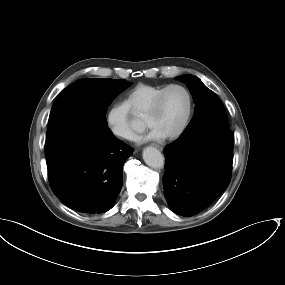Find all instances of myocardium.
I'll return each mask as SVG.
<instances>
[{
	"instance_id": "obj_1",
	"label": "myocardium",
	"mask_w": 285,
	"mask_h": 285,
	"mask_svg": "<svg viewBox=\"0 0 285 285\" xmlns=\"http://www.w3.org/2000/svg\"><path fill=\"white\" fill-rule=\"evenodd\" d=\"M171 88H180L185 92V94L187 96V109H186V113L184 115V118L181 121L178 128L170 134L160 136L162 139H168V140L175 139V138L179 137L184 132V130L186 129V127L190 121L192 110H193V99H192V95H191V92L189 91V89L186 86L179 84V83H171V84L164 86L158 92V94L156 95V97L154 98V100L152 101L149 108L147 109V111L144 114V117H147V116H150V115H153L154 113H156L161 106L162 99H163L165 93Z\"/></svg>"
}]
</instances>
